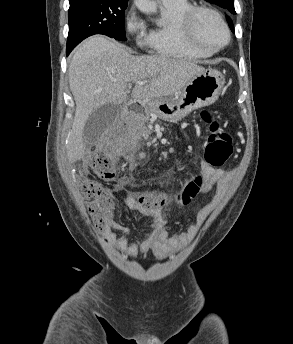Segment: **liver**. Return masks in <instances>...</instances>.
Wrapping results in <instances>:
<instances>
[{"instance_id":"1","label":"liver","mask_w":293,"mask_h":344,"mask_svg":"<svg viewBox=\"0 0 293 344\" xmlns=\"http://www.w3.org/2000/svg\"><path fill=\"white\" fill-rule=\"evenodd\" d=\"M204 70L196 62L165 56H133L108 38L96 35L75 51L68 70L76 102L72 130L68 134L69 162L85 154L83 130L88 117L104 104L127 101V84L133 81V101L171 97ZM146 81L144 85L137 82Z\"/></svg>"}]
</instances>
